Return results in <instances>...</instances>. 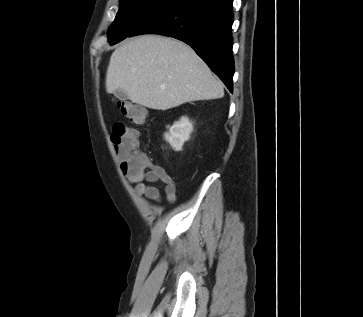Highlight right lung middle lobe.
<instances>
[{"label": "right lung middle lobe", "mask_w": 363, "mask_h": 317, "mask_svg": "<svg viewBox=\"0 0 363 317\" xmlns=\"http://www.w3.org/2000/svg\"><path fill=\"white\" fill-rule=\"evenodd\" d=\"M178 0H120V8L108 31L110 44L126 38L145 21Z\"/></svg>", "instance_id": "dd1d6c3e"}]
</instances>
